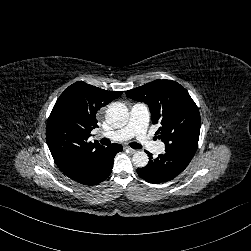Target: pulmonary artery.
<instances>
[{
    "mask_svg": "<svg viewBox=\"0 0 251 251\" xmlns=\"http://www.w3.org/2000/svg\"><path fill=\"white\" fill-rule=\"evenodd\" d=\"M149 118V111L145 105L136 104L131 108L130 118L126 126L115 130L110 134V138L116 141H126L132 137L140 139L141 142L147 141L146 125ZM144 148L152 154L164 155L167 152L165 145L161 141H149Z\"/></svg>",
    "mask_w": 251,
    "mask_h": 251,
    "instance_id": "obj_1",
    "label": "pulmonary artery"
}]
</instances>
